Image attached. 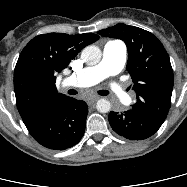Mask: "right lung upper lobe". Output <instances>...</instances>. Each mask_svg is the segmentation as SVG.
Instances as JSON below:
<instances>
[{"label":"right lung upper lobe","instance_id":"1","mask_svg":"<svg viewBox=\"0 0 187 187\" xmlns=\"http://www.w3.org/2000/svg\"><path fill=\"white\" fill-rule=\"evenodd\" d=\"M98 39L93 33H48L34 37L24 47L14 70L16 105L24 124L68 98L56 90V74L85 46Z\"/></svg>","mask_w":187,"mask_h":187}]
</instances>
